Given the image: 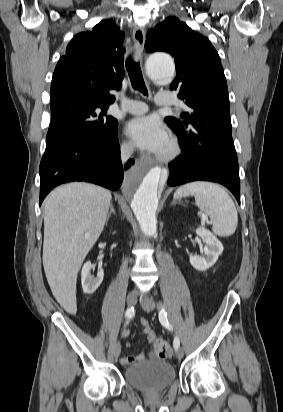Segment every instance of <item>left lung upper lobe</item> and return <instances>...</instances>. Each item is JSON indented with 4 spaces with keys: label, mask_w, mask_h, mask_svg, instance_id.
Masks as SVG:
<instances>
[{
    "label": "left lung upper lobe",
    "mask_w": 283,
    "mask_h": 412,
    "mask_svg": "<svg viewBox=\"0 0 283 412\" xmlns=\"http://www.w3.org/2000/svg\"><path fill=\"white\" fill-rule=\"evenodd\" d=\"M148 52L164 51L176 61V78L171 90L188 107L186 120L166 117L176 133L193 132L211 158L238 163L232 135L226 78L220 57L209 40L175 17L149 30Z\"/></svg>",
    "instance_id": "1"
}]
</instances>
